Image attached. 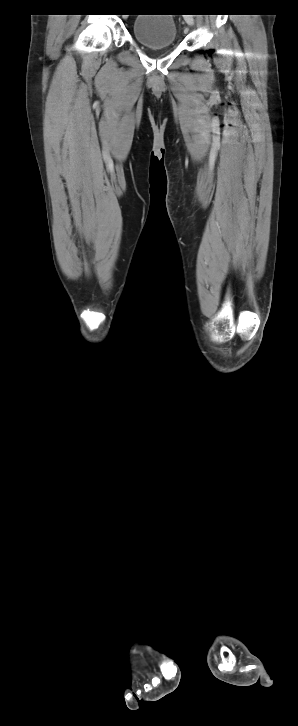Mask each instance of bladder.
<instances>
[{
    "mask_svg": "<svg viewBox=\"0 0 298 726\" xmlns=\"http://www.w3.org/2000/svg\"><path fill=\"white\" fill-rule=\"evenodd\" d=\"M157 15V18H152ZM134 38L150 49H165L176 45L177 26L169 14H138L132 23Z\"/></svg>",
    "mask_w": 298,
    "mask_h": 726,
    "instance_id": "1",
    "label": "bladder"
}]
</instances>
